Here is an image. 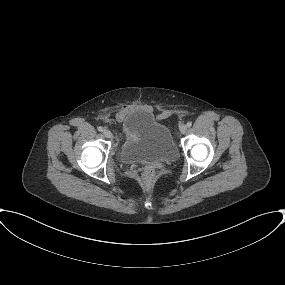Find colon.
<instances>
[{
	"label": "colon",
	"instance_id": "5ec220e1",
	"mask_svg": "<svg viewBox=\"0 0 285 285\" xmlns=\"http://www.w3.org/2000/svg\"><path fill=\"white\" fill-rule=\"evenodd\" d=\"M153 179H154V171L151 169L146 170L144 173V180L147 183H150L153 181Z\"/></svg>",
	"mask_w": 285,
	"mask_h": 285
}]
</instances>
